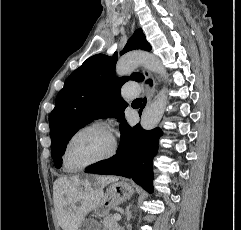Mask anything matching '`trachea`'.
<instances>
[{"instance_id":"trachea-1","label":"trachea","mask_w":241,"mask_h":230,"mask_svg":"<svg viewBox=\"0 0 241 230\" xmlns=\"http://www.w3.org/2000/svg\"><path fill=\"white\" fill-rule=\"evenodd\" d=\"M133 103L141 104L142 103V99L138 98V99L134 100Z\"/></svg>"}]
</instances>
